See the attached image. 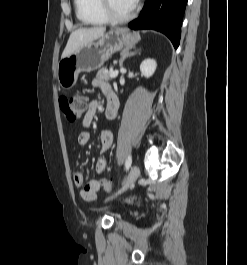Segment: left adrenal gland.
I'll list each match as a JSON object with an SVG mask.
<instances>
[{"label": "left adrenal gland", "instance_id": "left-adrenal-gland-1", "mask_svg": "<svg viewBox=\"0 0 247 265\" xmlns=\"http://www.w3.org/2000/svg\"><path fill=\"white\" fill-rule=\"evenodd\" d=\"M137 53L140 54L141 52L140 51L131 52L130 48H127V49L123 50L120 53V55H121V58H120V61H119L120 67H123V62L125 61L126 58L132 57V56L136 55Z\"/></svg>", "mask_w": 247, "mask_h": 265}]
</instances>
